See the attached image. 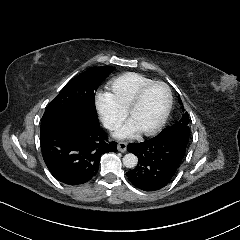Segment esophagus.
Listing matches in <instances>:
<instances>
[{
  "instance_id": "34e87169",
  "label": "esophagus",
  "mask_w": 240,
  "mask_h": 240,
  "mask_svg": "<svg viewBox=\"0 0 240 240\" xmlns=\"http://www.w3.org/2000/svg\"><path fill=\"white\" fill-rule=\"evenodd\" d=\"M118 151L125 153L127 150V142H119L117 145Z\"/></svg>"
}]
</instances>
